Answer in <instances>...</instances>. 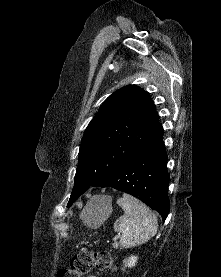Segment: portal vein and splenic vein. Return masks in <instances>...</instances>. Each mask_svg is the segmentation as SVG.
Instances as JSON below:
<instances>
[{
	"mask_svg": "<svg viewBox=\"0 0 221 277\" xmlns=\"http://www.w3.org/2000/svg\"><path fill=\"white\" fill-rule=\"evenodd\" d=\"M119 238V235L115 236V239L117 240Z\"/></svg>",
	"mask_w": 221,
	"mask_h": 277,
	"instance_id": "obj_1",
	"label": "portal vein and splenic vein"
}]
</instances>
